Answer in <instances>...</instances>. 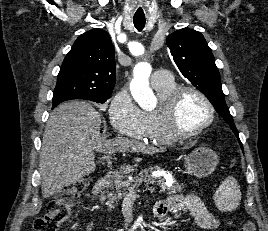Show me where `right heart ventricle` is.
I'll return each instance as SVG.
<instances>
[{"label": "right heart ventricle", "mask_w": 268, "mask_h": 231, "mask_svg": "<svg viewBox=\"0 0 268 231\" xmlns=\"http://www.w3.org/2000/svg\"><path fill=\"white\" fill-rule=\"evenodd\" d=\"M153 88L157 93L159 104L155 109L142 111L145 125L144 140L154 144L169 145L175 142L176 139L171 137L165 129L161 106L167 97L177 88V85L171 79L170 81L155 85Z\"/></svg>", "instance_id": "obj_1"}]
</instances>
